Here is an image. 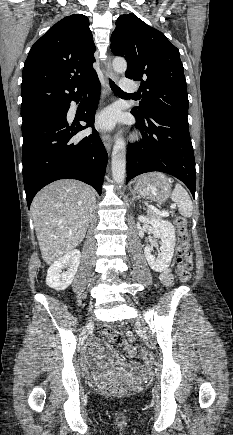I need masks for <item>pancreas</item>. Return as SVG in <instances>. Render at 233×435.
<instances>
[{
  "label": "pancreas",
  "instance_id": "1",
  "mask_svg": "<svg viewBox=\"0 0 233 435\" xmlns=\"http://www.w3.org/2000/svg\"><path fill=\"white\" fill-rule=\"evenodd\" d=\"M148 214L152 217H160L155 211L153 210H148Z\"/></svg>",
  "mask_w": 233,
  "mask_h": 435
}]
</instances>
